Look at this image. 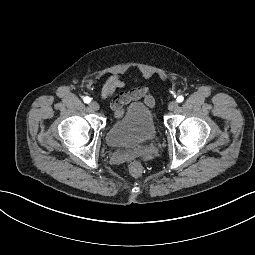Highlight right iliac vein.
<instances>
[{
	"instance_id": "63e3f726",
	"label": "right iliac vein",
	"mask_w": 255,
	"mask_h": 255,
	"mask_svg": "<svg viewBox=\"0 0 255 255\" xmlns=\"http://www.w3.org/2000/svg\"><path fill=\"white\" fill-rule=\"evenodd\" d=\"M89 107H90V109H92L93 111L99 110V104H98L97 102H95V101H91V102L89 103Z\"/></svg>"
}]
</instances>
